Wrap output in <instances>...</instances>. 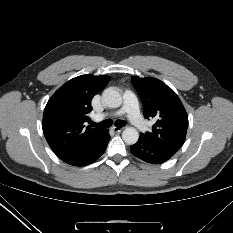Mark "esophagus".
I'll return each mask as SVG.
<instances>
[{
    "instance_id": "34e87169",
    "label": "esophagus",
    "mask_w": 233,
    "mask_h": 233,
    "mask_svg": "<svg viewBox=\"0 0 233 233\" xmlns=\"http://www.w3.org/2000/svg\"><path fill=\"white\" fill-rule=\"evenodd\" d=\"M123 129V127H112V130L116 133H120Z\"/></svg>"
}]
</instances>
